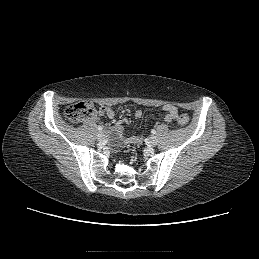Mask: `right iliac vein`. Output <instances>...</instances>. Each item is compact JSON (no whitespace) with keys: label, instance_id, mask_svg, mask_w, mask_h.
Instances as JSON below:
<instances>
[{"label":"right iliac vein","instance_id":"1","mask_svg":"<svg viewBox=\"0 0 259 259\" xmlns=\"http://www.w3.org/2000/svg\"><path fill=\"white\" fill-rule=\"evenodd\" d=\"M97 139H98V141H103L104 139H105V134L103 133V132H99L98 134H97Z\"/></svg>","mask_w":259,"mask_h":259}]
</instances>
